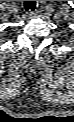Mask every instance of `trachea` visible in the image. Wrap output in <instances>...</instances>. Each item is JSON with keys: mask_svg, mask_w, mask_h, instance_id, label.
I'll return each instance as SVG.
<instances>
[{"mask_svg": "<svg viewBox=\"0 0 74 122\" xmlns=\"http://www.w3.org/2000/svg\"><path fill=\"white\" fill-rule=\"evenodd\" d=\"M24 8L26 11H34L36 8V1H24Z\"/></svg>", "mask_w": 74, "mask_h": 122, "instance_id": "1", "label": "trachea"}]
</instances>
